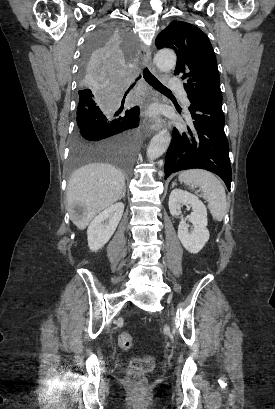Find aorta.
Instances as JSON below:
<instances>
[{
	"label": "aorta",
	"instance_id": "1",
	"mask_svg": "<svg viewBox=\"0 0 275 409\" xmlns=\"http://www.w3.org/2000/svg\"><path fill=\"white\" fill-rule=\"evenodd\" d=\"M154 62L157 68L163 70V72H170L172 68H174L176 64V54L174 50H168V48H162V50H158L157 54L154 56ZM171 140V134L163 128V130H159L153 138L150 140V144L147 148V156L150 160H154V158H158L161 156L165 150H167Z\"/></svg>",
	"mask_w": 275,
	"mask_h": 409
}]
</instances>
